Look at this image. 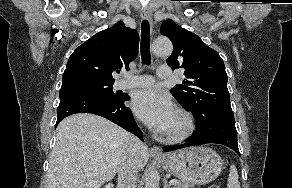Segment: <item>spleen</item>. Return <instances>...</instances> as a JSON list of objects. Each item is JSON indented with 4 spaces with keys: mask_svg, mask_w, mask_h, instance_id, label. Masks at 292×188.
Returning a JSON list of instances; mask_svg holds the SVG:
<instances>
[{
    "mask_svg": "<svg viewBox=\"0 0 292 188\" xmlns=\"http://www.w3.org/2000/svg\"><path fill=\"white\" fill-rule=\"evenodd\" d=\"M238 171L235 165L230 166L227 188H240Z\"/></svg>",
    "mask_w": 292,
    "mask_h": 188,
    "instance_id": "1",
    "label": "spleen"
}]
</instances>
